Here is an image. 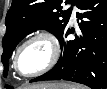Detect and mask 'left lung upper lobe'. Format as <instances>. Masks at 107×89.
Returning a JSON list of instances; mask_svg holds the SVG:
<instances>
[{
  "instance_id": "left-lung-upper-lobe-1",
  "label": "left lung upper lobe",
  "mask_w": 107,
  "mask_h": 89,
  "mask_svg": "<svg viewBox=\"0 0 107 89\" xmlns=\"http://www.w3.org/2000/svg\"><path fill=\"white\" fill-rule=\"evenodd\" d=\"M79 1L66 0L65 3L77 5ZM61 3L62 0H12L5 19L6 34L2 40L4 76L7 75L8 60L13 50L27 34L45 29L60 38L72 12V7L62 11Z\"/></svg>"
}]
</instances>
